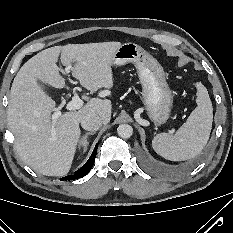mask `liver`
Masks as SVG:
<instances>
[{"label": "liver", "instance_id": "1", "mask_svg": "<svg viewBox=\"0 0 233 233\" xmlns=\"http://www.w3.org/2000/svg\"><path fill=\"white\" fill-rule=\"evenodd\" d=\"M119 42L68 44L47 48L29 59L16 74L7 109L8 126L21 160L35 172L47 176H64L72 165L81 136L79 123L86 114H95L103 124L111 119L109 99L92 98L77 111L51 113L55 101L37 81L54 88L65 86L57 61L73 66L72 75L91 92L113 87L112 59Z\"/></svg>", "mask_w": 233, "mask_h": 233}]
</instances>
